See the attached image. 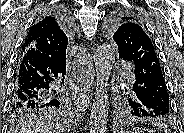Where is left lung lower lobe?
<instances>
[{
    "instance_id": "0a47b994",
    "label": "left lung lower lobe",
    "mask_w": 184,
    "mask_h": 133,
    "mask_svg": "<svg viewBox=\"0 0 184 133\" xmlns=\"http://www.w3.org/2000/svg\"><path fill=\"white\" fill-rule=\"evenodd\" d=\"M135 83L131 90V115L139 118H163L171 114V104L162 69L141 57L135 63Z\"/></svg>"
}]
</instances>
